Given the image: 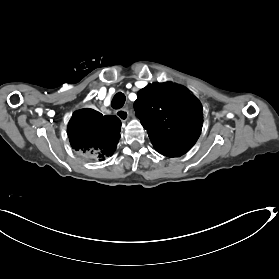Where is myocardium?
Wrapping results in <instances>:
<instances>
[{"mask_svg":"<svg viewBox=\"0 0 279 279\" xmlns=\"http://www.w3.org/2000/svg\"><path fill=\"white\" fill-rule=\"evenodd\" d=\"M105 68H101L98 72H101V71H103Z\"/></svg>","mask_w":279,"mask_h":279,"instance_id":"obj_1","label":"myocardium"}]
</instances>
